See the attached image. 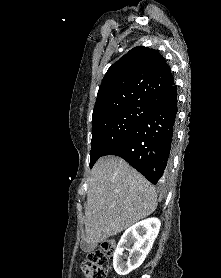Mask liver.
I'll list each match as a JSON object with an SVG mask.
<instances>
[{"instance_id":"obj_1","label":"liver","mask_w":221,"mask_h":278,"mask_svg":"<svg viewBox=\"0 0 221 278\" xmlns=\"http://www.w3.org/2000/svg\"><path fill=\"white\" fill-rule=\"evenodd\" d=\"M156 207L155 188L139 172L122 158H100L88 179L84 241L93 250L152 214Z\"/></svg>"}]
</instances>
